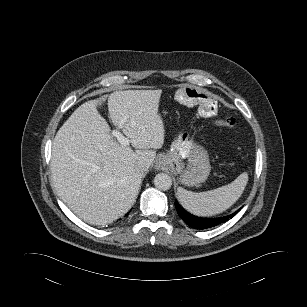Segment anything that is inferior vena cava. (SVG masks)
<instances>
[{
    "mask_svg": "<svg viewBox=\"0 0 307 307\" xmlns=\"http://www.w3.org/2000/svg\"><path fill=\"white\" fill-rule=\"evenodd\" d=\"M136 171L143 174L146 170V164L144 162H140L135 166Z\"/></svg>",
    "mask_w": 307,
    "mask_h": 307,
    "instance_id": "602c4592",
    "label": "inferior vena cava"
}]
</instances>
